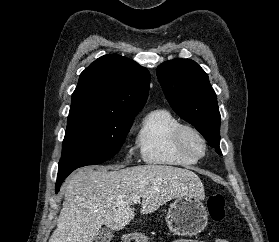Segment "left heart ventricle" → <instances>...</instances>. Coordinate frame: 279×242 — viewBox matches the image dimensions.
I'll use <instances>...</instances> for the list:
<instances>
[{
  "instance_id": "1",
  "label": "left heart ventricle",
  "mask_w": 279,
  "mask_h": 242,
  "mask_svg": "<svg viewBox=\"0 0 279 242\" xmlns=\"http://www.w3.org/2000/svg\"><path fill=\"white\" fill-rule=\"evenodd\" d=\"M190 147L193 149L194 152L200 153L201 152V145L199 142L194 138H189Z\"/></svg>"
}]
</instances>
